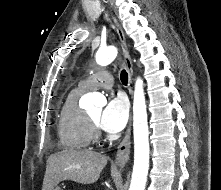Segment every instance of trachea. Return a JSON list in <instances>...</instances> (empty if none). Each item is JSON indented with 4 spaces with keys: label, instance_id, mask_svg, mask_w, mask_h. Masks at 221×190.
<instances>
[{
    "label": "trachea",
    "instance_id": "1",
    "mask_svg": "<svg viewBox=\"0 0 221 190\" xmlns=\"http://www.w3.org/2000/svg\"><path fill=\"white\" fill-rule=\"evenodd\" d=\"M120 79H121V82H122L124 85H127V83H128V73H127L125 70H122V71H121Z\"/></svg>",
    "mask_w": 221,
    "mask_h": 190
}]
</instances>
